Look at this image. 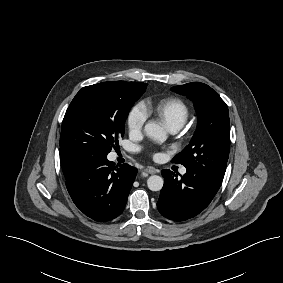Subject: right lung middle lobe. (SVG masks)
<instances>
[{
    "mask_svg": "<svg viewBox=\"0 0 283 283\" xmlns=\"http://www.w3.org/2000/svg\"><path fill=\"white\" fill-rule=\"evenodd\" d=\"M146 86L142 82L111 81L83 87L65 113L60 150L80 161L107 156L123 137L130 108Z\"/></svg>",
    "mask_w": 283,
    "mask_h": 283,
    "instance_id": "obj_1",
    "label": "right lung middle lobe"
}]
</instances>
